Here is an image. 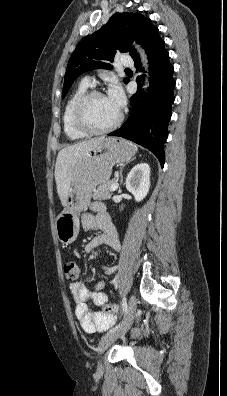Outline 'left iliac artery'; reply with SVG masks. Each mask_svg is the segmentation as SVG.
I'll return each instance as SVG.
<instances>
[{
    "label": "left iliac artery",
    "mask_w": 227,
    "mask_h": 396,
    "mask_svg": "<svg viewBox=\"0 0 227 396\" xmlns=\"http://www.w3.org/2000/svg\"><path fill=\"white\" fill-rule=\"evenodd\" d=\"M121 304H122L123 312L126 314V313H127V300H126V297H125V296L123 297ZM119 326H120V324L116 325V326H115L114 328H112L107 334H109V333L115 331Z\"/></svg>",
    "instance_id": "1"
}]
</instances>
